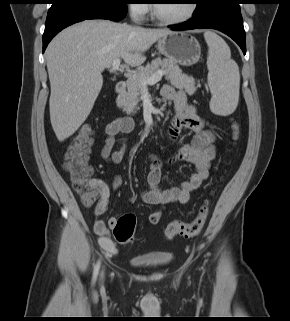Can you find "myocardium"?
I'll return each mask as SVG.
<instances>
[{
  "label": "myocardium",
  "instance_id": "f54148a6",
  "mask_svg": "<svg viewBox=\"0 0 290 321\" xmlns=\"http://www.w3.org/2000/svg\"><path fill=\"white\" fill-rule=\"evenodd\" d=\"M154 4H156V3H153L150 5L151 17L157 23H159L161 25H166V26H173V25L185 23L186 21L190 20L194 16V14L196 13V10H197V4L195 3V1L190 0L188 11L183 16L178 17V18L169 19V18H163V17L159 16L158 13L156 12V7Z\"/></svg>",
  "mask_w": 290,
  "mask_h": 321
}]
</instances>
